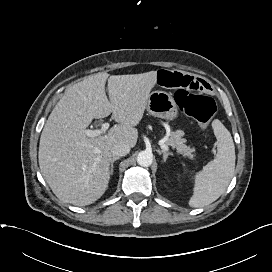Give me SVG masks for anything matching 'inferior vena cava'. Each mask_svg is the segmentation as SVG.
Returning a JSON list of instances; mask_svg holds the SVG:
<instances>
[{
  "instance_id": "1",
  "label": "inferior vena cava",
  "mask_w": 272,
  "mask_h": 272,
  "mask_svg": "<svg viewBox=\"0 0 272 272\" xmlns=\"http://www.w3.org/2000/svg\"><path fill=\"white\" fill-rule=\"evenodd\" d=\"M130 152V146L128 144L125 143H118L115 144L112 148H111V153L113 156L115 157H121V156H125Z\"/></svg>"
}]
</instances>
